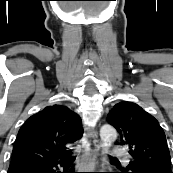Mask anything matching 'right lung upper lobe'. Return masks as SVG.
<instances>
[{
    "mask_svg": "<svg viewBox=\"0 0 173 173\" xmlns=\"http://www.w3.org/2000/svg\"><path fill=\"white\" fill-rule=\"evenodd\" d=\"M83 135L80 117L68 107L53 105L29 117L15 140L10 168L68 157L66 145Z\"/></svg>",
    "mask_w": 173,
    "mask_h": 173,
    "instance_id": "obj_1",
    "label": "right lung upper lobe"
}]
</instances>
